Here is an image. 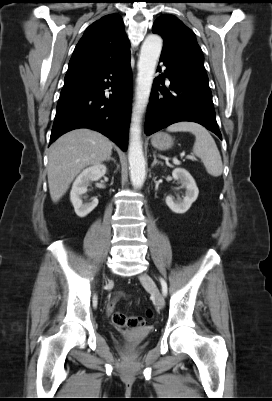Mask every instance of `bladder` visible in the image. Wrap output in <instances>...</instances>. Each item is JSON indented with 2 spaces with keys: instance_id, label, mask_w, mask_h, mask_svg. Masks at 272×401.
<instances>
[{
  "instance_id": "bladder-1",
  "label": "bladder",
  "mask_w": 272,
  "mask_h": 401,
  "mask_svg": "<svg viewBox=\"0 0 272 401\" xmlns=\"http://www.w3.org/2000/svg\"><path fill=\"white\" fill-rule=\"evenodd\" d=\"M150 332H151L150 327H140L132 331L131 334L143 338L147 336ZM116 346L120 352L129 356L139 355L146 348V344L143 341H140L138 343H129L123 339L116 340Z\"/></svg>"
}]
</instances>
